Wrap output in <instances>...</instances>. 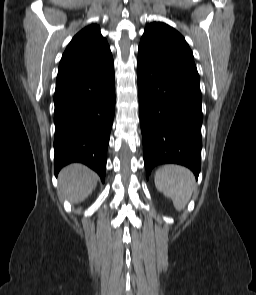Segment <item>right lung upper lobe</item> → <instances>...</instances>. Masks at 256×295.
I'll return each mask as SVG.
<instances>
[{
	"label": "right lung upper lobe",
	"mask_w": 256,
	"mask_h": 295,
	"mask_svg": "<svg viewBox=\"0 0 256 295\" xmlns=\"http://www.w3.org/2000/svg\"><path fill=\"white\" fill-rule=\"evenodd\" d=\"M113 62L109 45L98 25L77 33L67 46L59 63L57 79L85 72Z\"/></svg>",
	"instance_id": "right-lung-upper-lobe-1"
}]
</instances>
